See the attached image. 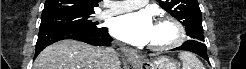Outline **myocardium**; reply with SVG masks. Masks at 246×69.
<instances>
[{"mask_svg": "<svg viewBox=\"0 0 246 69\" xmlns=\"http://www.w3.org/2000/svg\"><path fill=\"white\" fill-rule=\"evenodd\" d=\"M156 23H167L174 31V38L163 44H149V48L156 51L168 50L181 45L185 39V30L179 20L170 15H164L157 18Z\"/></svg>", "mask_w": 246, "mask_h": 69, "instance_id": "obj_1", "label": "myocardium"}]
</instances>
